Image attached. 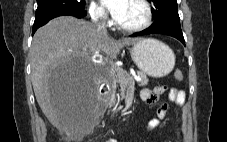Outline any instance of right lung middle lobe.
Returning a JSON list of instances; mask_svg holds the SVG:
<instances>
[{
  "label": "right lung middle lobe",
  "mask_w": 227,
  "mask_h": 142,
  "mask_svg": "<svg viewBox=\"0 0 227 142\" xmlns=\"http://www.w3.org/2000/svg\"><path fill=\"white\" fill-rule=\"evenodd\" d=\"M36 16L59 10H84L85 0H37Z\"/></svg>",
  "instance_id": "1"
}]
</instances>
